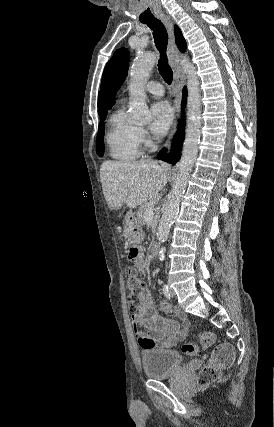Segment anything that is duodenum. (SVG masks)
I'll return each instance as SVG.
<instances>
[{"mask_svg": "<svg viewBox=\"0 0 274 427\" xmlns=\"http://www.w3.org/2000/svg\"><path fill=\"white\" fill-rule=\"evenodd\" d=\"M158 252H159V246H158V245L153 246V248H152V253H153L154 255H157V254H158Z\"/></svg>", "mask_w": 274, "mask_h": 427, "instance_id": "410a0bca", "label": "duodenum"}]
</instances>
